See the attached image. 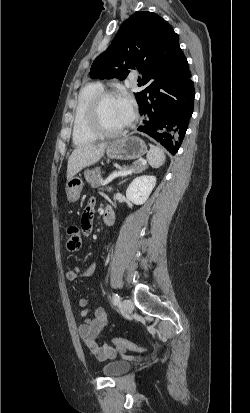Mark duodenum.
Masks as SVG:
<instances>
[{
    "label": "duodenum",
    "mask_w": 250,
    "mask_h": 413,
    "mask_svg": "<svg viewBox=\"0 0 250 413\" xmlns=\"http://www.w3.org/2000/svg\"><path fill=\"white\" fill-rule=\"evenodd\" d=\"M114 212L111 208H107L103 215V221L106 226H111L114 223Z\"/></svg>",
    "instance_id": "410a0bca"
}]
</instances>
